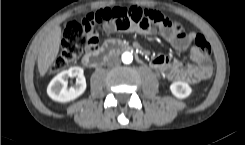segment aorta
<instances>
[{
    "instance_id": "obj_1",
    "label": "aorta",
    "mask_w": 245,
    "mask_h": 145,
    "mask_svg": "<svg viewBox=\"0 0 245 145\" xmlns=\"http://www.w3.org/2000/svg\"><path fill=\"white\" fill-rule=\"evenodd\" d=\"M122 62L125 64H130L133 60V56L130 52H124L121 56Z\"/></svg>"
}]
</instances>
